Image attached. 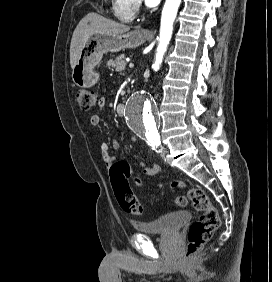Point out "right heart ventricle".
<instances>
[{"mask_svg": "<svg viewBox=\"0 0 272 282\" xmlns=\"http://www.w3.org/2000/svg\"><path fill=\"white\" fill-rule=\"evenodd\" d=\"M130 2L131 0H112L114 14L122 21L128 22L134 17Z\"/></svg>", "mask_w": 272, "mask_h": 282, "instance_id": "e07e8e85", "label": "right heart ventricle"}]
</instances>
